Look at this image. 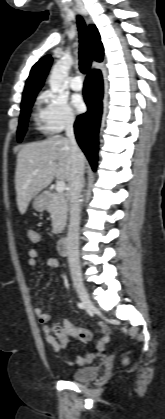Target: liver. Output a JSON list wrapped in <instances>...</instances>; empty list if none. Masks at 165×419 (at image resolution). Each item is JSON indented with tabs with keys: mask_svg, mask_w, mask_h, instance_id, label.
<instances>
[{
	"mask_svg": "<svg viewBox=\"0 0 165 419\" xmlns=\"http://www.w3.org/2000/svg\"><path fill=\"white\" fill-rule=\"evenodd\" d=\"M82 159L85 164L84 154ZM71 170V146L67 138L56 135L23 146L17 155L15 172L19 212L24 214L31 199L54 178L70 182ZM34 171L37 173L33 174Z\"/></svg>",
	"mask_w": 165,
	"mask_h": 419,
	"instance_id": "6515ba94",
	"label": "liver"
}]
</instances>
